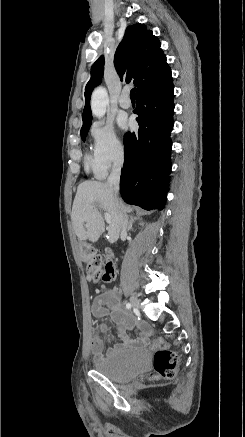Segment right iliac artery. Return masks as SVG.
I'll return each mask as SVG.
<instances>
[{"label":"right iliac artery","mask_w":245,"mask_h":437,"mask_svg":"<svg viewBox=\"0 0 245 437\" xmlns=\"http://www.w3.org/2000/svg\"><path fill=\"white\" fill-rule=\"evenodd\" d=\"M126 308H127V309H130V308H131V304H130V303H127V304H126Z\"/></svg>","instance_id":"right-iliac-artery-1"}]
</instances>
